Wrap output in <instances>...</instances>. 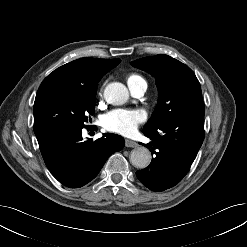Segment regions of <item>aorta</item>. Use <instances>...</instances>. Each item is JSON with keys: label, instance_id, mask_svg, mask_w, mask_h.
Wrapping results in <instances>:
<instances>
[{"label": "aorta", "instance_id": "aorta-1", "mask_svg": "<svg viewBox=\"0 0 247 247\" xmlns=\"http://www.w3.org/2000/svg\"><path fill=\"white\" fill-rule=\"evenodd\" d=\"M104 97L109 104L122 105L128 101L129 92L122 83L112 82L106 86ZM130 162L134 167L144 169L151 162V153L146 147H137L130 153Z\"/></svg>", "mask_w": 247, "mask_h": 247}]
</instances>
